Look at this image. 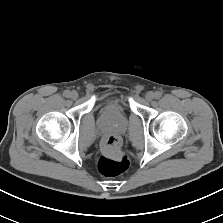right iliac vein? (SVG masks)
Wrapping results in <instances>:
<instances>
[{"instance_id":"obj_1","label":"right iliac vein","mask_w":223,"mask_h":223,"mask_svg":"<svg viewBox=\"0 0 223 223\" xmlns=\"http://www.w3.org/2000/svg\"><path fill=\"white\" fill-rule=\"evenodd\" d=\"M70 97L75 100L78 98V93L76 91H72Z\"/></svg>"}]
</instances>
